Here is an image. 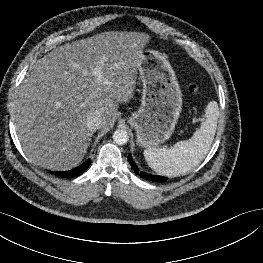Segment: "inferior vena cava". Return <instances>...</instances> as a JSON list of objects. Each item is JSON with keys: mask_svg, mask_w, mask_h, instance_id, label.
Listing matches in <instances>:
<instances>
[{"mask_svg": "<svg viewBox=\"0 0 263 263\" xmlns=\"http://www.w3.org/2000/svg\"><path fill=\"white\" fill-rule=\"evenodd\" d=\"M102 124H103V117L102 114L99 112L92 113L87 117L86 125L90 130L99 129L101 128Z\"/></svg>", "mask_w": 263, "mask_h": 263, "instance_id": "obj_1", "label": "inferior vena cava"}]
</instances>
